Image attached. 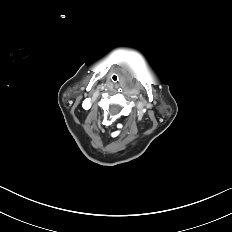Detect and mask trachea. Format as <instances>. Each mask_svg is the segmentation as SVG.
<instances>
[{
  "label": "trachea",
  "instance_id": "trachea-1",
  "mask_svg": "<svg viewBox=\"0 0 232 232\" xmlns=\"http://www.w3.org/2000/svg\"><path fill=\"white\" fill-rule=\"evenodd\" d=\"M110 80H111L112 83L116 84L119 81V76L117 74L113 73V74L110 75Z\"/></svg>",
  "mask_w": 232,
  "mask_h": 232
}]
</instances>
